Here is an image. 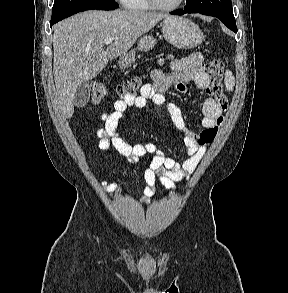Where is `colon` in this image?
Segmentation results:
<instances>
[{"instance_id":"colon-1","label":"colon","mask_w":288,"mask_h":293,"mask_svg":"<svg viewBox=\"0 0 288 293\" xmlns=\"http://www.w3.org/2000/svg\"><path fill=\"white\" fill-rule=\"evenodd\" d=\"M224 72V64L218 58H212L208 63L209 87L208 92L212 95L219 106L224 110L227 108V98L223 91L222 78ZM140 78H132L119 85L117 88L118 95L124 98L127 95H134L141 87ZM108 88L105 83L97 81L91 87V102L99 104L107 96Z\"/></svg>"}]
</instances>
